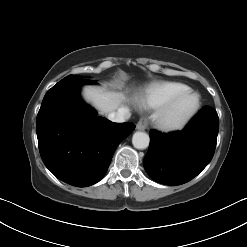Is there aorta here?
I'll return each instance as SVG.
<instances>
[{"mask_svg":"<svg viewBox=\"0 0 247 247\" xmlns=\"http://www.w3.org/2000/svg\"><path fill=\"white\" fill-rule=\"evenodd\" d=\"M149 141V135L145 132H135L132 137V144L136 149H146Z\"/></svg>","mask_w":247,"mask_h":247,"instance_id":"762f6f07","label":"aorta"}]
</instances>
